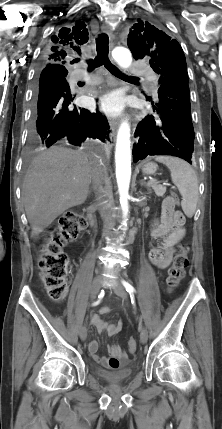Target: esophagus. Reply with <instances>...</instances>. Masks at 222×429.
<instances>
[{
    "mask_svg": "<svg viewBox=\"0 0 222 429\" xmlns=\"http://www.w3.org/2000/svg\"><path fill=\"white\" fill-rule=\"evenodd\" d=\"M101 30H102L103 33H106V34L109 35L111 41L114 39L115 36H114V33H113V31H112L111 28H109L106 25H102ZM109 125H110V128L113 131V133H115L116 130H117V128H118V125H119L118 118L110 117L109 118Z\"/></svg>",
    "mask_w": 222,
    "mask_h": 429,
    "instance_id": "obj_1",
    "label": "esophagus"
}]
</instances>
